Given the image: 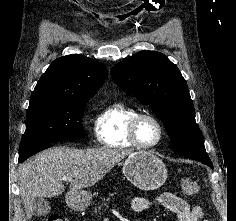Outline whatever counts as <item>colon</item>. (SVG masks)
I'll use <instances>...</instances> for the list:
<instances>
[{
  "instance_id": "5ec220e1",
  "label": "colon",
  "mask_w": 236,
  "mask_h": 221,
  "mask_svg": "<svg viewBox=\"0 0 236 221\" xmlns=\"http://www.w3.org/2000/svg\"><path fill=\"white\" fill-rule=\"evenodd\" d=\"M181 188L185 196H195L199 193L200 190L198 182L191 177L182 178ZM44 221H66V220L57 215H50Z\"/></svg>"
}]
</instances>
